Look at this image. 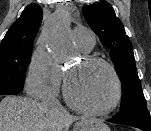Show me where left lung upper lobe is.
<instances>
[{
  "label": "left lung upper lobe",
  "instance_id": "left-lung-upper-lobe-1",
  "mask_svg": "<svg viewBox=\"0 0 151 131\" xmlns=\"http://www.w3.org/2000/svg\"><path fill=\"white\" fill-rule=\"evenodd\" d=\"M82 12L103 46L110 50V58L122 85L120 111L137 105L147 106L135 65L132 43L112 6L108 2H98L83 6Z\"/></svg>",
  "mask_w": 151,
  "mask_h": 131
}]
</instances>
